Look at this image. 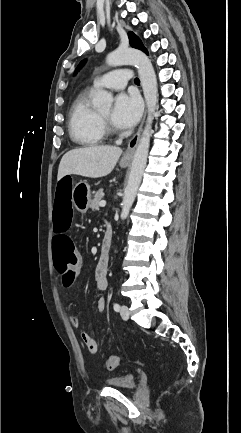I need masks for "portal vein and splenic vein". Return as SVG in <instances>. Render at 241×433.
Instances as JSON below:
<instances>
[{"label":"portal vein and splenic vein","mask_w":241,"mask_h":433,"mask_svg":"<svg viewBox=\"0 0 241 433\" xmlns=\"http://www.w3.org/2000/svg\"><path fill=\"white\" fill-rule=\"evenodd\" d=\"M99 206H100V207H105V206H106V201H105V200H102V201L99 203Z\"/></svg>","instance_id":"1"}]
</instances>
